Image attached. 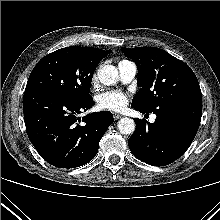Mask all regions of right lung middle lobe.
Masks as SVG:
<instances>
[{"label":"right lung middle lobe","mask_w":220,"mask_h":220,"mask_svg":"<svg viewBox=\"0 0 220 220\" xmlns=\"http://www.w3.org/2000/svg\"><path fill=\"white\" fill-rule=\"evenodd\" d=\"M99 62L83 56L76 46L56 50L43 57L32 70L25 91L44 90L84 100Z\"/></svg>","instance_id":"dd1d6c3e"}]
</instances>
